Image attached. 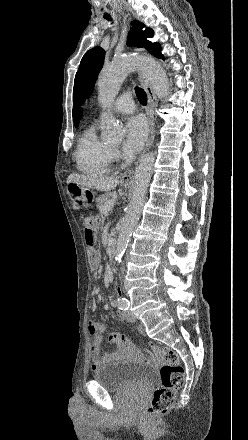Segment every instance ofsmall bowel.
Here are the masks:
<instances>
[{
	"mask_svg": "<svg viewBox=\"0 0 248 440\" xmlns=\"http://www.w3.org/2000/svg\"><path fill=\"white\" fill-rule=\"evenodd\" d=\"M136 330L139 333L144 332L142 326H137ZM105 325L100 320H90L88 322V333L93 337L91 345L92 353V368L98 369L101 365L119 361L124 358H133L138 356L136 347L132 344L129 338L123 334L113 333L108 337V341L116 346V349L111 352H103ZM148 346L153 347L156 344L155 339L150 338L147 341Z\"/></svg>",
	"mask_w": 248,
	"mask_h": 440,
	"instance_id": "c3829d8e",
	"label": "small bowel"
}]
</instances>
